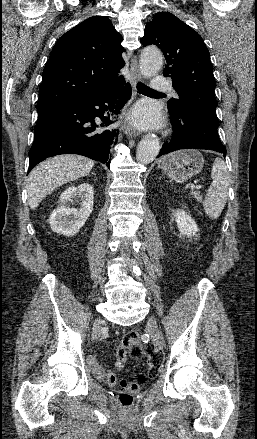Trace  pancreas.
<instances>
[{
	"mask_svg": "<svg viewBox=\"0 0 257 439\" xmlns=\"http://www.w3.org/2000/svg\"><path fill=\"white\" fill-rule=\"evenodd\" d=\"M193 197L198 202H201V200H202V196H200L198 193H193Z\"/></svg>",
	"mask_w": 257,
	"mask_h": 439,
	"instance_id": "pancreas-1",
	"label": "pancreas"
}]
</instances>
